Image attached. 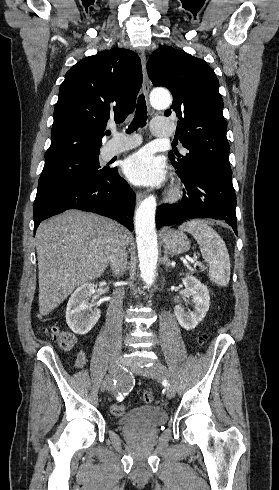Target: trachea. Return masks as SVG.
<instances>
[{"mask_svg":"<svg viewBox=\"0 0 279 490\" xmlns=\"http://www.w3.org/2000/svg\"><path fill=\"white\" fill-rule=\"evenodd\" d=\"M146 120H147V107L145 103V98L144 95H140L137 103V109L135 112V116L131 124L129 125V128L127 130V133H132L135 130H137L139 127H144L146 125ZM111 132H106L107 135H110Z\"/></svg>","mask_w":279,"mask_h":490,"instance_id":"trachea-1","label":"trachea"}]
</instances>
